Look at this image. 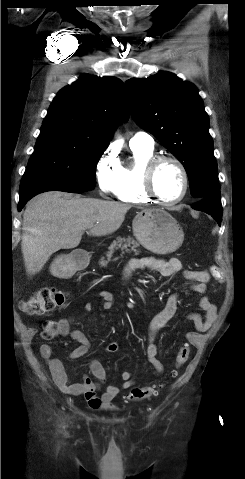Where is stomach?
Returning <instances> with one entry per match:
<instances>
[{
	"label": "stomach",
	"mask_w": 245,
	"mask_h": 479,
	"mask_svg": "<svg viewBox=\"0 0 245 479\" xmlns=\"http://www.w3.org/2000/svg\"><path fill=\"white\" fill-rule=\"evenodd\" d=\"M133 233L149 251L167 254L183 243L184 233L178 222L161 209H144L133 220ZM75 267L69 255L57 256L50 265V272L58 278H69Z\"/></svg>",
	"instance_id": "obj_1"
}]
</instances>
